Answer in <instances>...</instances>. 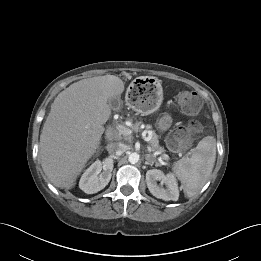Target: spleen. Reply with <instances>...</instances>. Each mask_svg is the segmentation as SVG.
Wrapping results in <instances>:
<instances>
[{
	"label": "spleen",
	"instance_id": "1",
	"mask_svg": "<svg viewBox=\"0 0 261 261\" xmlns=\"http://www.w3.org/2000/svg\"><path fill=\"white\" fill-rule=\"evenodd\" d=\"M216 159V140L207 136L191 150L190 157H184L173 166V172L181 182V188L188 197L196 195L210 176Z\"/></svg>",
	"mask_w": 261,
	"mask_h": 261
}]
</instances>
